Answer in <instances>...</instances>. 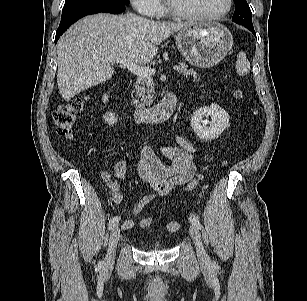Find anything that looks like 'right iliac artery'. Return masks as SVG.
Wrapping results in <instances>:
<instances>
[{
  "label": "right iliac artery",
  "mask_w": 307,
  "mask_h": 301,
  "mask_svg": "<svg viewBox=\"0 0 307 301\" xmlns=\"http://www.w3.org/2000/svg\"><path fill=\"white\" fill-rule=\"evenodd\" d=\"M119 220H120V217H119V216L113 217V218L109 221L108 228H109V229H112L114 226H116V225L118 224Z\"/></svg>",
  "instance_id": "right-iliac-artery-1"
}]
</instances>
